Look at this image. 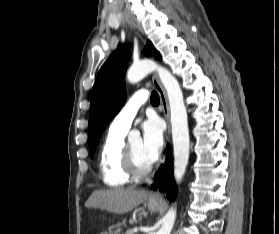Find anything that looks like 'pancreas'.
I'll list each match as a JSON object with an SVG mask.
<instances>
[{
	"mask_svg": "<svg viewBox=\"0 0 279 234\" xmlns=\"http://www.w3.org/2000/svg\"><path fill=\"white\" fill-rule=\"evenodd\" d=\"M125 234H132V232L131 231H127Z\"/></svg>",
	"mask_w": 279,
	"mask_h": 234,
	"instance_id": "1",
	"label": "pancreas"
}]
</instances>
